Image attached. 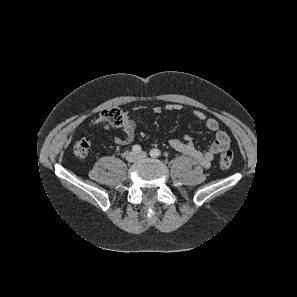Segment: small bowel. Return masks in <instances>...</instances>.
<instances>
[{
  "label": "small bowel",
  "instance_id": "small-bowel-1",
  "mask_svg": "<svg viewBox=\"0 0 297 297\" xmlns=\"http://www.w3.org/2000/svg\"><path fill=\"white\" fill-rule=\"evenodd\" d=\"M168 111H178L181 109V106L178 104H168L165 107ZM153 112L158 114L162 111L161 107H154ZM193 115L196 119L204 121L206 127L215 132V138L212 144L204 152L198 150L190 137H184L180 139H171L169 141L170 146L176 151L189 156L196 160L205 168H209L215 155L226 150L230 145V139L226 132L219 129V123L215 118L207 117L206 114L202 111L195 110ZM101 121V120H100ZM137 124L136 122L129 118L125 117L124 123L122 124V131L124 136L122 138H114V142L117 145H128L130 144L136 134Z\"/></svg>",
  "mask_w": 297,
  "mask_h": 297
}]
</instances>
